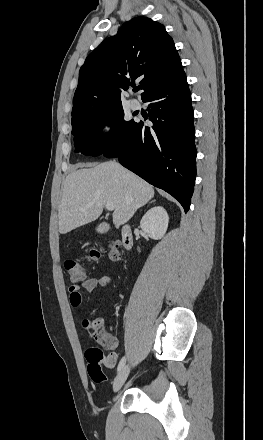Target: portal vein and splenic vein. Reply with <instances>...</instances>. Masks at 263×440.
I'll return each instance as SVG.
<instances>
[{"label":"portal vein and splenic vein","instance_id":"obj_1","mask_svg":"<svg viewBox=\"0 0 263 440\" xmlns=\"http://www.w3.org/2000/svg\"><path fill=\"white\" fill-rule=\"evenodd\" d=\"M105 206H106V209L109 211H112L115 208V206L112 202H107Z\"/></svg>","mask_w":263,"mask_h":440}]
</instances>
